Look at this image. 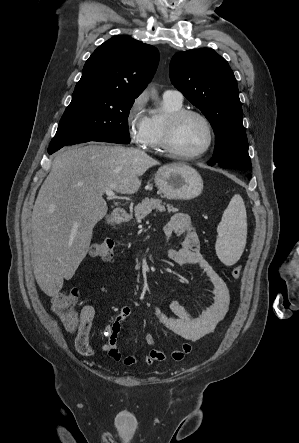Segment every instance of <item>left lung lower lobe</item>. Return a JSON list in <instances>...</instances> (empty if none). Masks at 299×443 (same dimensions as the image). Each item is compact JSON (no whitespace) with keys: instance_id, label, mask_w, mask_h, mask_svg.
<instances>
[{"instance_id":"left-lung-lower-lobe-1","label":"left lung lower lobe","mask_w":299,"mask_h":443,"mask_svg":"<svg viewBox=\"0 0 299 443\" xmlns=\"http://www.w3.org/2000/svg\"><path fill=\"white\" fill-rule=\"evenodd\" d=\"M208 164L212 166V164H211V163H208ZM250 177H251V175H248V178H250Z\"/></svg>"}]
</instances>
